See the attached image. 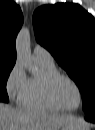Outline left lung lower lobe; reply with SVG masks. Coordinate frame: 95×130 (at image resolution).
<instances>
[{
	"label": "left lung lower lobe",
	"instance_id": "obj_1",
	"mask_svg": "<svg viewBox=\"0 0 95 130\" xmlns=\"http://www.w3.org/2000/svg\"><path fill=\"white\" fill-rule=\"evenodd\" d=\"M85 119L90 122H95V111H91L89 113H86Z\"/></svg>",
	"mask_w": 95,
	"mask_h": 130
}]
</instances>
